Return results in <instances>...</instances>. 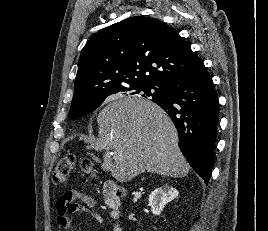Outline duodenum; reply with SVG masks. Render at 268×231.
<instances>
[{
    "label": "duodenum",
    "mask_w": 268,
    "mask_h": 231,
    "mask_svg": "<svg viewBox=\"0 0 268 231\" xmlns=\"http://www.w3.org/2000/svg\"><path fill=\"white\" fill-rule=\"evenodd\" d=\"M103 193L105 195V201L107 206L111 210V216L116 221L121 218L120 203L122 192L119 191L113 183H106L103 187Z\"/></svg>",
    "instance_id": "1"
}]
</instances>
